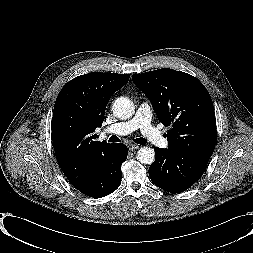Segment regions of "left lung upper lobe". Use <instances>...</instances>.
Returning <instances> with one entry per match:
<instances>
[{
  "label": "left lung upper lobe",
  "instance_id": "left-lung-upper-lobe-1",
  "mask_svg": "<svg viewBox=\"0 0 253 253\" xmlns=\"http://www.w3.org/2000/svg\"><path fill=\"white\" fill-rule=\"evenodd\" d=\"M167 133L168 149L211 156L217 137L212 99L195 77L173 69L133 74Z\"/></svg>",
  "mask_w": 253,
  "mask_h": 253
}]
</instances>
